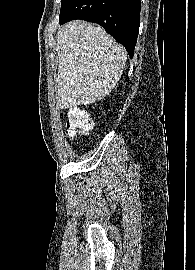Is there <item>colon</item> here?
<instances>
[{"label": "colon", "mask_w": 195, "mask_h": 270, "mask_svg": "<svg viewBox=\"0 0 195 270\" xmlns=\"http://www.w3.org/2000/svg\"><path fill=\"white\" fill-rule=\"evenodd\" d=\"M67 134L70 137L84 135L92 128V121L87 112L77 107L70 108L66 121Z\"/></svg>", "instance_id": "colon-1"}]
</instances>
